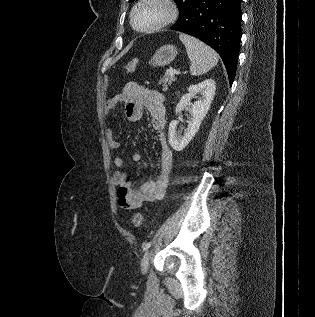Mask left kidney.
Returning a JSON list of instances; mask_svg holds the SVG:
<instances>
[{
    "label": "left kidney",
    "instance_id": "left-kidney-1",
    "mask_svg": "<svg viewBox=\"0 0 315 317\" xmlns=\"http://www.w3.org/2000/svg\"><path fill=\"white\" fill-rule=\"evenodd\" d=\"M215 90V81L213 79H206L199 84L189 86L188 93L181 97L180 102L176 106V114L180 113L186 106L191 105L192 117L188 121V128L185 130L183 136L179 135L176 131L177 121H171L169 124L168 142L174 150H183L195 136L210 108ZM196 94H200L201 98L194 104H191V98Z\"/></svg>",
    "mask_w": 315,
    "mask_h": 317
}]
</instances>
